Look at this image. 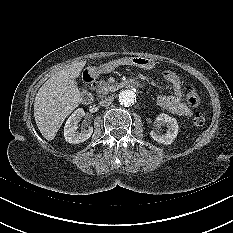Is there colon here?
Masks as SVG:
<instances>
[{
    "label": "colon",
    "instance_id": "5ec220e1",
    "mask_svg": "<svg viewBox=\"0 0 233 233\" xmlns=\"http://www.w3.org/2000/svg\"><path fill=\"white\" fill-rule=\"evenodd\" d=\"M184 98L186 102L191 106V107H198L201 103V97L199 95V92L197 91L196 87L193 85H187L184 88L183 91ZM205 115L201 111H196L193 115L192 122L195 126L201 127L205 124Z\"/></svg>",
    "mask_w": 233,
    "mask_h": 233
}]
</instances>
